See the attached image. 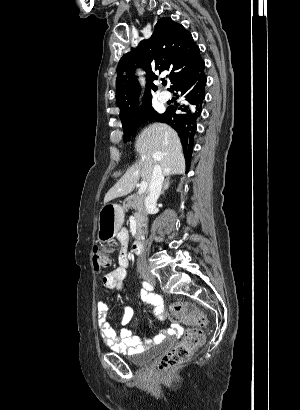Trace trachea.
<instances>
[{"instance_id":"1","label":"trachea","mask_w":300,"mask_h":410,"mask_svg":"<svg viewBox=\"0 0 300 410\" xmlns=\"http://www.w3.org/2000/svg\"><path fill=\"white\" fill-rule=\"evenodd\" d=\"M166 84H167V82H166V81H164V82H163V85L165 86Z\"/></svg>"}]
</instances>
